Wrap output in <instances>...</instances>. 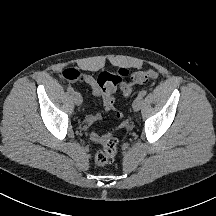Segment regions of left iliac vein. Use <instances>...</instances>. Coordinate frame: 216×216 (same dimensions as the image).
<instances>
[{"label": "left iliac vein", "mask_w": 216, "mask_h": 216, "mask_svg": "<svg viewBox=\"0 0 216 216\" xmlns=\"http://www.w3.org/2000/svg\"><path fill=\"white\" fill-rule=\"evenodd\" d=\"M141 105H142V99L137 97V98L133 101V104H132L133 110H134V111H139L140 108H141Z\"/></svg>", "instance_id": "left-iliac-vein-1"}]
</instances>
